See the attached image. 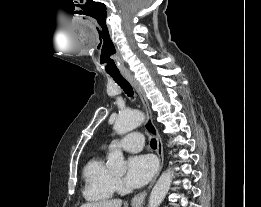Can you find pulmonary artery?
<instances>
[{
	"mask_svg": "<svg viewBox=\"0 0 261 207\" xmlns=\"http://www.w3.org/2000/svg\"><path fill=\"white\" fill-rule=\"evenodd\" d=\"M144 138L139 132H133L128 134L122 140L113 141L110 144V148H121L128 152H138L143 148Z\"/></svg>",
	"mask_w": 261,
	"mask_h": 207,
	"instance_id": "e3ab8cb5",
	"label": "pulmonary artery"
}]
</instances>
